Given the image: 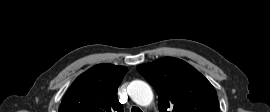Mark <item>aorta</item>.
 Returning a JSON list of instances; mask_svg holds the SVG:
<instances>
[{
    "label": "aorta",
    "mask_w": 270,
    "mask_h": 112,
    "mask_svg": "<svg viewBox=\"0 0 270 112\" xmlns=\"http://www.w3.org/2000/svg\"><path fill=\"white\" fill-rule=\"evenodd\" d=\"M131 99L140 106H147L153 100V92L150 86L141 80L132 81L128 87Z\"/></svg>",
    "instance_id": "aorta-1"
}]
</instances>
